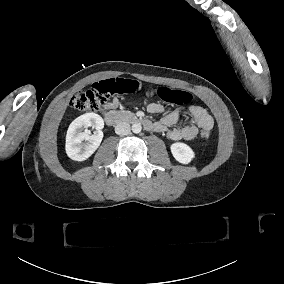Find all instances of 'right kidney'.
<instances>
[{"instance_id": "ca27d5eb", "label": "right kidney", "mask_w": 284, "mask_h": 284, "mask_svg": "<svg viewBox=\"0 0 284 284\" xmlns=\"http://www.w3.org/2000/svg\"><path fill=\"white\" fill-rule=\"evenodd\" d=\"M103 126V119L94 113L84 114L75 119L69 126L66 136V154L69 159L82 162L94 154L101 144L102 132L90 135L83 131L89 127L100 130ZM85 140L89 143H83Z\"/></svg>"}]
</instances>
